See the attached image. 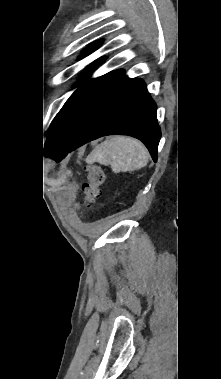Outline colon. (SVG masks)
Returning a JSON list of instances; mask_svg holds the SVG:
<instances>
[{
	"mask_svg": "<svg viewBox=\"0 0 221 379\" xmlns=\"http://www.w3.org/2000/svg\"><path fill=\"white\" fill-rule=\"evenodd\" d=\"M88 181L83 185V202L80 206L81 209L90 207L98 198L101 197V186L105 182L106 174L104 170L95 165L86 167Z\"/></svg>",
	"mask_w": 221,
	"mask_h": 379,
	"instance_id": "1",
	"label": "colon"
}]
</instances>
